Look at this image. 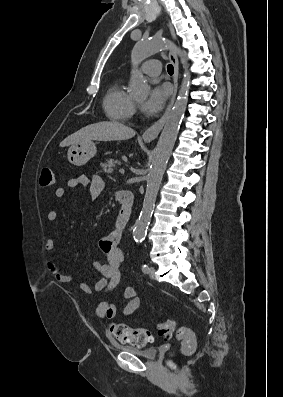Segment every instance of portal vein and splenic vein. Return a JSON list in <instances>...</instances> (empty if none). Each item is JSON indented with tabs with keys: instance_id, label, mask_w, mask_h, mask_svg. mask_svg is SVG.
I'll return each instance as SVG.
<instances>
[{
	"instance_id": "18ae733b",
	"label": "portal vein and splenic vein",
	"mask_w": 283,
	"mask_h": 397,
	"mask_svg": "<svg viewBox=\"0 0 283 397\" xmlns=\"http://www.w3.org/2000/svg\"><path fill=\"white\" fill-rule=\"evenodd\" d=\"M119 172H120V174H124V173H125V170H124L123 168H121V169L119 170Z\"/></svg>"
}]
</instances>
